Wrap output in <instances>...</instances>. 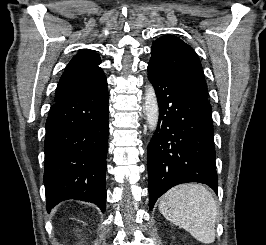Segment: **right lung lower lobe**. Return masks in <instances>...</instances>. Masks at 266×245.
Segmentation results:
<instances>
[{"instance_id":"obj_1","label":"right lung lower lobe","mask_w":266,"mask_h":245,"mask_svg":"<svg viewBox=\"0 0 266 245\" xmlns=\"http://www.w3.org/2000/svg\"><path fill=\"white\" fill-rule=\"evenodd\" d=\"M108 99L105 80L80 87L52 105L44 144L47 211L68 199L105 211Z\"/></svg>"}]
</instances>
